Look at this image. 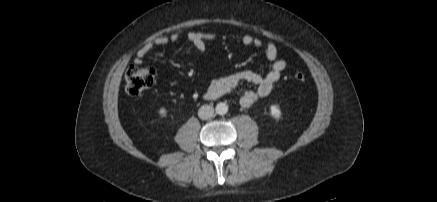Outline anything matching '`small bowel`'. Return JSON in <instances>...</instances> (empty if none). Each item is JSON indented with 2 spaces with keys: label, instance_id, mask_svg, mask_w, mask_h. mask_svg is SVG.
<instances>
[{
  "label": "small bowel",
  "instance_id": "c3829d8e",
  "mask_svg": "<svg viewBox=\"0 0 437 202\" xmlns=\"http://www.w3.org/2000/svg\"><path fill=\"white\" fill-rule=\"evenodd\" d=\"M183 31L177 30L170 35L157 37L144 44L136 53L134 62L141 64L147 54L153 49L160 46H166L177 42L182 36ZM219 35L202 31H190L186 33V38L196 47V49L204 53L208 42L218 39ZM244 45L253 46L259 51L264 52L265 57L272 63L271 69L266 75H261L253 70H244L235 74L221 76L213 79L206 91V98L215 100L225 94L232 92L241 83H250L255 85L252 90L245 91L240 97V104L243 107H251L262 98L268 96L278 83L282 72L287 67V62L278 58V48L271 41L263 42L251 35H244L241 38ZM171 82V85H174Z\"/></svg>",
  "mask_w": 437,
  "mask_h": 202
}]
</instances>
